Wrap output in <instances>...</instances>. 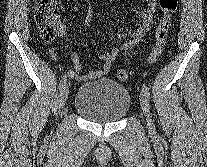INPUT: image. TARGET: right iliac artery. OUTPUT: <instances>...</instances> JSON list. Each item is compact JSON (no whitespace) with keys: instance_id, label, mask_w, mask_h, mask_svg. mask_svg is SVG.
<instances>
[{"instance_id":"1","label":"right iliac artery","mask_w":207,"mask_h":167,"mask_svg":"<svg viewBox=\"0 0 207 167\" xmlns=\"http://www.w3.org/2000/svg\"><path fill=\"white\" fill-rule=\"evenodd\" d=\"M66 81H67V76L64 75L63 78L60 81V84H59V90H60V92L64 88V86L66 85Z\"/></svg>"}]
</instances>
